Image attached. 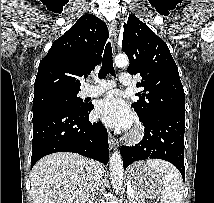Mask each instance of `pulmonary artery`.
Returning <instances> with one entry per match:
<instances>
[{
	"label": "pulmonary artery",
	"mask_w": 214,
	"mask_h": 203,
	"mask_svg": "<svg viewBox=\"0 0 214 203\" xmlns=\"http://www.w3.org/2000/svg\"><path fill=\"white\" fill-rule=\"evenodd\" d=\"M119 82L122 85L129 86L133 84L131 76L129 73H121L119 75ZM115 82L113 80H102L95 86H89L84 90V96H98L106 91H109L115 87Z\"/></svg>",
	"instance_id": "pulmonary-artery-1"
}]
</instances>
